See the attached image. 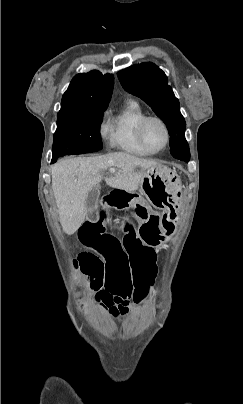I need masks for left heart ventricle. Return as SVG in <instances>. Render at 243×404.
<instances>
[{
  "label": "left heart ventricle",
  "mask_w": 243,
  "mask_h": 404,
  "mask_svg": "<svg viewBox=\"0 0 243 404\" xmlns=\"http://www.w3.org/2000/svg\"><path fill=\"white\" fill-rule=\"evenodd\" d=\"M144 137L149 145L155 149L162 148L167 141L165 129L155 120L146 124L144 128Z\"/></svg>",
  "instance_id": "b2bd125f"
}]
</instances>
